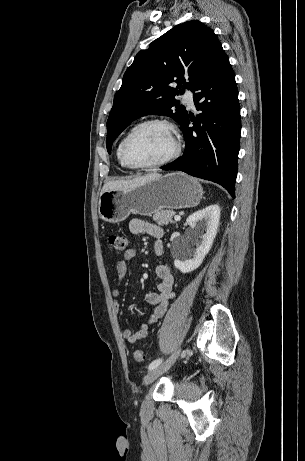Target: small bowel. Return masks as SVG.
I'll return each mask as SVG.
<instances>
[{
    "label": "small bowel",
    "instance_id": "small-bowel-1",
    "mask_svg": "<svg viewBox=\"0 0 305 461\" xmlns=\"http://www.w3.org/2000/svg\"><path fill=\"white\" fill-rule=\"evenodd\" d=\"M130 230L135 234L146 233L154 237L156 239L153 244L155 255L161 256L163 254L164 246L160 240L163 236L161 227L141 219H134L130 222ZM136 257L137 251L133 248H129L124 253V259L116 263L118 281L117 287L112 291V298L113 308L117 313L120 311V303L118 301L120 297L119 286L127 273L126 261L134 260ZM156 275L159 278V283L156 289L150 291L146 296L148 303L154 305L155 309L149 318V322L147 324H142L136 332H132L129 329L123 330V339L129 344H135L148 335L149 325L157 322L168 311L170 303L175 297V279L169 267L166 265H158L156 267Z\"/></svg>",
    "mask_w": 305,
    "mask_h": 461
}]
</instances>
